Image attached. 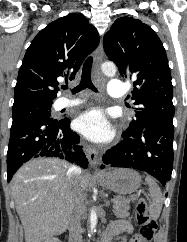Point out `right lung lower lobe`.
Listing matches in <instances>:
<instances>
[{"label": "right lung lower lobe", "mask_w": 187, "mask_h": 242, "mask_svg": "<svg viewBox=\"0 0 187 242\" xmlns=\"http://www.w3.org/2000/svg\"><path fill=\"white\" fill-rule=\"evenodd\" d=\"M69 126L68 118L30 119L12 124L7 152L8 182L23 163L36 157H58L87 168L79 136Z\"/></svg>", "instance_id": "98d812e1"}]
</instances>
